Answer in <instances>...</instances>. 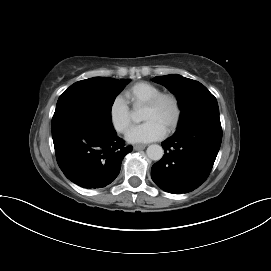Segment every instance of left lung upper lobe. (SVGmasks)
Returning a JSON list of instances; mask_svg holds the SVG:
<instances>
[{
  "label": "left lung upper lobe",
  "mask_w": 271,
  "mask_h": 271,
  "mask_svg": "<svg viewBox=\"0 0 271 271\" xmlns=\"http://www.w3.org/2000/svg\"><path fill=\"white\" fill-rule=\"evenodd\" d=\"M153 81L164 85L176 95L181 110L178 127L198 119L219 118L216 98L198 81L178 74L157 76Z\"/></svg>",
  "instance_id": "1"
}]
</instances>
